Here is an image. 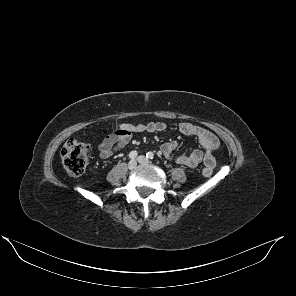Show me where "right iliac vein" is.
Here are the masks:
<instances>
[{"instance_id":"63e3f726","label":"right iliac vein","mask_w":296,"mask_h":296,"mask_svg":"<svg viewBox=\"0 0 296 296\" xmlns=\"http://www.w3.org/2000/svg\"><path fill=\"white\" fill-rule=\"evenodd\" d=\"M137 166V162L136 160H131L129 163H128V169L129 170H134Z\"/></svg>"}]
</instances>
